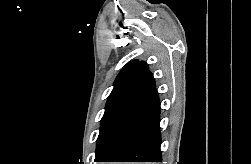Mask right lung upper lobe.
<instances>
[{
    "mask_svg": "<svg viewBox=\"0 0 251 164\" xmlns=\"http://www.w3.org/2000/svg\"><path fill=\"white\" fill-rule=\"evenodd\" d=\"M155 87L153 75L143 61L134 60L128 63L114 81L112 92L136 90L144 92Z\"/></svg>",
    "mask_w": 251,
    "mask_h": 164,
    "instance_id": "1",
    "label": "right lung upper lobe"
}]
</instances>
